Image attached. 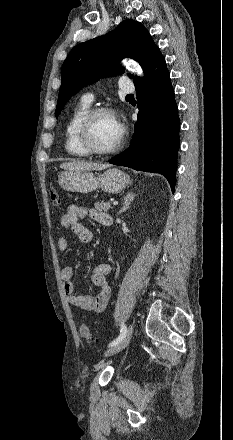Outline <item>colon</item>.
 <instances>
[{"instance_id": "5ec220e1", "label": "colon", "mask_w": 233, "mask_h": 440, "mask_svg": "<svg viewBox=\"0 0 233 440\" xmlns=\"http://www.w3.org/2000/svg\"><path fill=\"white\" fill-rule=\"evenodd\" d=\"M49 196L53 205L58 206L60 204L59 195L54 187H50ZM80 334L86 341L90 343H93L95 341V338L92 336L90 332L89 326L86 324L80 325Z\"/></svg>"}]
</instances>
